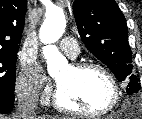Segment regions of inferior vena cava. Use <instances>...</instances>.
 <instances>
[{"label":"inferior vena cava","instance_id":"inferior-vena-cava-1","mask_svg":"<svg viewBox=\"0 0 142 119\" xmlns=\"http://www.w3.org/2000/svg\"><path fill=\"white\" fill-rule=\"evenodd\" d=\"M38 94L34 89L18 95V105L15 119H36Z\"/></svg>","mask_w":142,"mask_h":119}]
</instances>
